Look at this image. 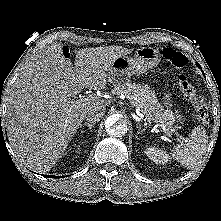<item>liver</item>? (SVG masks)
<instances>
[{
    "label": "liver",
    "instance_id": "1",
    "mask_svg": "<svg viewBox=\"0 0 221 221\" xmlns=\"http://www.w3.org/2000/svg\"><path fill=\"white\" fill-rule=\"evenodd\" d=\"M64 46L54 43L37 54L17 78L7 105L8 140L20 160L39 172L51 170L92 108L106 109L110 100H71L83 89L104 90L108 71L121 46L84 48L75 63L65 58Z\"/></svg>",
    "mask_w": 221,
    "mask_h": 221
}]
</instances>
